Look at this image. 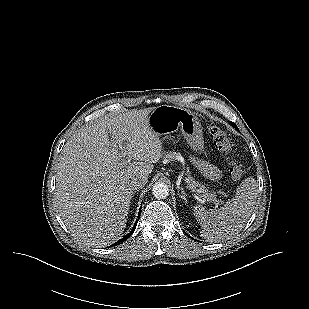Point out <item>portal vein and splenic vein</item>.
<instances>
[{
	"label": "portal vein and splenic vein",
	"instance_id": "obj_1",
	"mask_svg": "<svg viewBox=\"0 0 309 309\" xmlns=\"http://www.w3.org/2000/svg\"><path fill=\"white\" fill-rule=\"evenodd\" d=\"M123 164H124V163H123ZM192 192H196V191L193 190ZM197 199H199L202 203H204V202L206 201L205 198H203V200H202V199H200L199 197H197ZM213 202L215 203L216 207L219 205V201H218V200H214Z\"/></svg>",
	"mask_w": 309,
	"mask_h": 309
}]
</instances>
